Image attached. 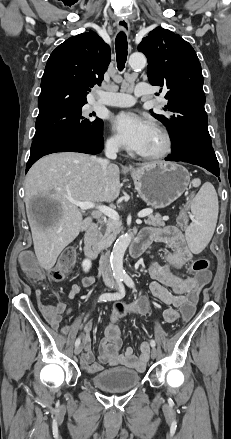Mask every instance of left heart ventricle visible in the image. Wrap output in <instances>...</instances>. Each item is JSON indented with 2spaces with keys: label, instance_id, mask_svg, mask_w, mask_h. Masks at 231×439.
<instances>
[{
  "label": "left heart ventricle",
  "instance_id": "left-heart-ventricle-1",
  "mask_svg": "<svg viewBox=\"0 0 231 439\" xmlns=\"http://www.w3.org/2000/svg\"><path fill=\"white\" fill-rule=\"evenodd\" d=\"M161 147H162V138L160 134L156 130H154L153 134L151 135L149 141L147 142L141 153L142 154L154 153L159 151Z\"/></svg>",
  "mask_w": 231,
  "mask_h": 439
}]
</instances>
